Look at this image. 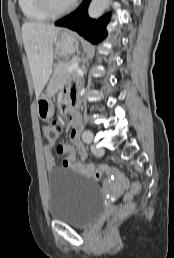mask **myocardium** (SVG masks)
<instances>
[{
  "instance_id": "f54148a6",
  "label": "myocardium",
  "mask_w": 174,
  "mask_h": 258,
  "mask_svg": "<svg viewBox=\"0 0 174 258\" xmlns=\"http://www.w3.org/2000/svg\"><path fill=\"white\" fill-rule=\"evenodd\" d=\"M40 8L49 17H59L70 12L75 7V1L70 2L67 6L58 8L55 6L53 0H38Z\"/></svg>"
}]
</instances>
